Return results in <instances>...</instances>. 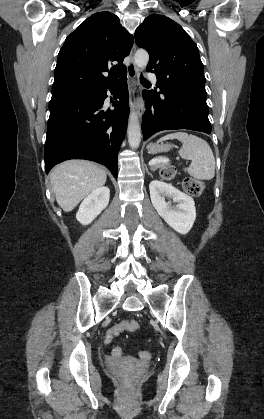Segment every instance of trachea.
Returning a JSON list of instances; mask_svg holds the SVG:
<instances>
[{
    "label": "trachea",
    "instance_id": "3493384b",
    "mask_svg": "<svg viewBox=\"0 0 264 419\" xmlns=\"http://www.w3.org/2000/svg\"><path fill=\"white\" fill-rule=\"evenodd\" d=\"M140 81H141V83H143V84H147V85H149L150 84V82L149 81H147L142 75L140 76Z\"/></svg>",
    "mask_w": 264,
    "mask_h": 419
}]
</instances>
